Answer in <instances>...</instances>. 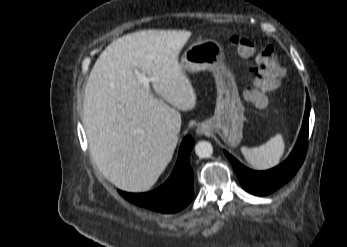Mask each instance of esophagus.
Segmentation results:
<instances>
[{"label": "esophagus", "instance_id": "34e87169", "mask_svg": "<svg viewBox=\"0 0 347 247\" xmlns=\"http://www.w3.org/2000/svg\"><path fill=\"white\" fill-rule=\"evenodd\" d=\"M196 133L199 135L207 134V129L205 126L200 125V126H198Z\"/></svg>", "mask_w": 347, "mask_h": 247}]
</instances>
